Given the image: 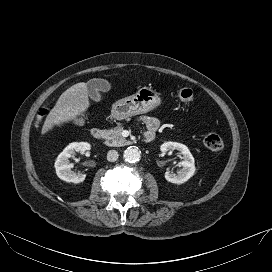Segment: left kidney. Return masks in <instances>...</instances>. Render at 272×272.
<instances>
[{"instance_id":"1","label":"left kidney","mask_w":272,"mask_h":272,"mask_svg":"<svg viewBox=\"0 0 272 272\" xmlns=\"http://www.w3.org/2000/svg\"><path fill=\"white\" fill-rule=\"evenodd\" d=\"M162 152L178 150L182 154V161L179 163L183 168L177 174L166 172L165 179L171 183L182 184L188 181L195 173V161L187 146L177 142H166L160 147Z\"/></svg>"}]
</instances>
